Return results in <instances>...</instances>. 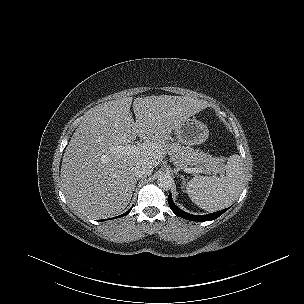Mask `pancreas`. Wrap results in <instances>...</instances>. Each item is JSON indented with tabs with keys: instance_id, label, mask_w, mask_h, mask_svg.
<instances>
[{
	"instance_id": "cf45deb5",
	"label": "pancreas",
	"mask_w": 304,
	"mask_h": 304,
	"mask_svg": "<svg viewBox=\"0 0 304 304\" xmlns=\"http://www.w3.org/2000/svg\"><path fill=\"white\" fill-rule=\"evenodd\" d=\"M171 161L180 169L188 166H196V169H202L204 173H218L222 171L224 159L200 150H194L188 146H182L177 142H171L167 146Z\"/></svg>"
}]
</instances>
